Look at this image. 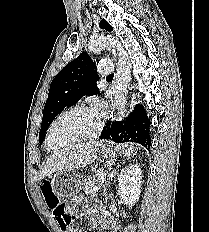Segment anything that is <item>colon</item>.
<instances>
[{
  "label": "colon",
  "instance_id": "5ec220e1",
  "mask_svg": "<svg viewBox=\"0 0 209 232\" xmlns=\"http://www.w3.org/2000/svg\"><path fill=\"white\" fill-rule=\"evenodd\" d=\"M46 203L53 212L56 219V226L63 229L68 228L73 220L71 213L66 209V203L60 202L58 196L54 193L49 182H44L41 187Z\"/></svg>",
  "mask_w": 209,
  "mask_h": 232
}]
</instances>
